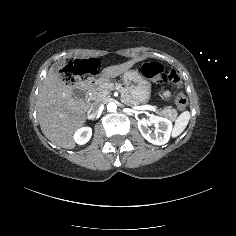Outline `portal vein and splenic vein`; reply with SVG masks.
<instances>
[{
  "label": "portal vein and splenic vein",
  "mask_w": 236,
  "mask_h": 236,
  "mask_svg": "<svg viewBox=\"0 0 236 236\" xmlns=\"http://www.w3.org/2000/svg\"><path fill=\"white\" fill-rule=\"evenodd\" d=\"M150 110V111H153V112H157V108L155 106H150V105H147V106H135V109L134 107H131V110Z\"/></svg>",
  "instance_id": "obj_1"
}]
</instances>
